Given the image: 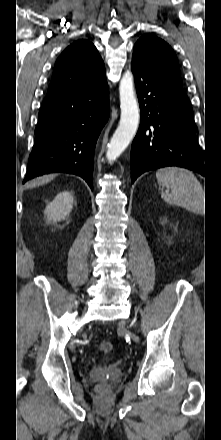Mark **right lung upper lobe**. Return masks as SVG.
<instances>
[{"mask_svg": "<svg viewBox=\"0 0 221 440\" xmlns=\"http://www.w3.org/2000/svg\"><path fill=\"white\" fill-rule=\"evenodd\" d=\"M105 82L104 62L96 47L81 39L58 57L47 95L94 89Z\"/></svg>", "mask_w": 221, "mask_h": 440, "instance_id": "cb5924a9", "label": "right lung upper lobe"}]
</instances>
